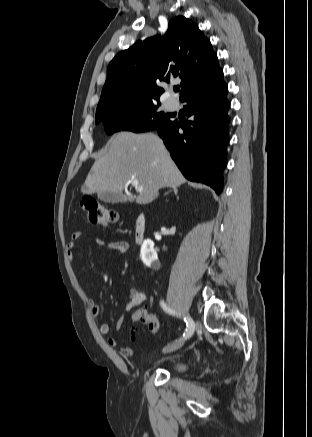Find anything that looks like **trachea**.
<instances>
[{
  "label": "trachea",
  "instance_id": "trachea-1",
  "mask_svg": "<svg viewBox=\"0 0 312 437\" xmlns=\"http://www.w3.org/2000/svg\"><path fill=\"white\" fill-rule=\"evenodd\" d=\"M179 89H180L179 87H175V88H174V91L177 92V91H179Z\"/></svg>",
  "mask_w": 312,
  "mask_h": 437
}]
</instances>
